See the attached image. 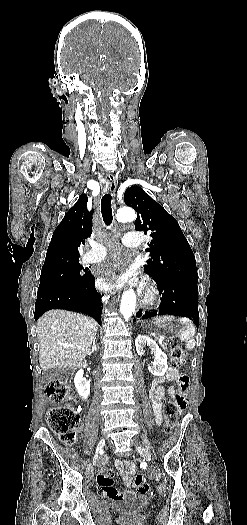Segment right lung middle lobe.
I'll use <instances>...</instances> for the list:
<instances>
[{
	"mask_svg": "<svg viewBox=\"0 0 247 525\" xmlns=\"http://www.w3.org/2000/svg\"><path fill=\"white\" fill-rule=\"evenodd\" d=\"M81 269L83 267L79 264V261H76L41 271L38 292L57 285L77 284L91 275V273L81 275Z\"/></svg>",
	"mask_w": 247,
	"mask_h": 525,
	"instance_id": "1",
	"label": "right lung middle lobe"
}]
</instances>
